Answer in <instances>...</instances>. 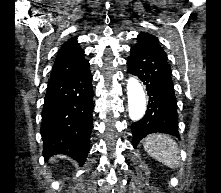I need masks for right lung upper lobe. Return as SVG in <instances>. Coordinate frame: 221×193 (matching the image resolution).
<instances>
[{
    "instance_id": "obj_1",
    "label": "right lung upper lobe",
    "mask_w": 221,
    "mask_h": 193,
    "mask_svg": "<svg viewBox=\"0 0 221 193\" xmlns=\"http://www.w3.org/2000/svg\"><path fill=\"white\" fill-rule=\"evenodd\" d=\"M83 53L84 50L80 48L76 38L68 40L57 52L51 77L68 74L83 68L88 62Z\"/></svg>"
}]
</instances>
